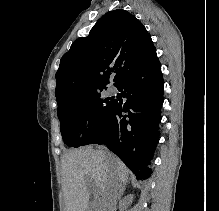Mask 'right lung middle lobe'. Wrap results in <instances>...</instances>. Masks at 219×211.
<instances>
[{
  "label": "right lung middle lobe",
  "instance_id": "right-lung-middle-lobe-1",
  "mask_svg": "<svg viewBox=\"0 0 219 211\" xmlns=\"http://www.w3.org/2000/svg\"><path fill=\"white\" fill-rule=\"evenodd\" d=\"M114 103L98 92L58 105L64 142L70 147L86 145L92 130L108 117Z\"/></svg>",
  "mask_w": 219,
  "mask_h": 211
}]
</instances>
